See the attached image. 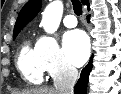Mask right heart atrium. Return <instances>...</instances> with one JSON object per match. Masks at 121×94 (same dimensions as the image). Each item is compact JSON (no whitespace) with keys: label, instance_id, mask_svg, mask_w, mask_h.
<instances>
[{"label":"right heart atrium","instance_id":"right-heart-atrium-1","mask_svg":"<svg viewBox=\"0 0 121 94\" xmlns=\"http://www.w3.org/2000/svg\"><path fill=\"white\" fill-rule=\"evenodd\" d=\"M35 47L39 64L49 76L68 78L75 73L74 67L67 61L53 36H41Z\"/></svg>","mask_w":121,"mask_h":94}]
</instances>
